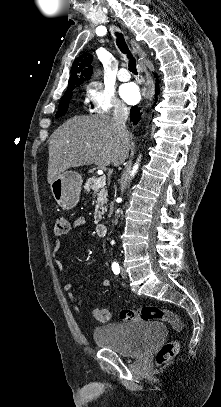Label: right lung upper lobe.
<instances>
[{
    "label": "right lung upper lobe",
    "mask_w": 221,
    "mask_h": 407,
    "mask_svg": "<svg viewBox=\"0 0 221 407\" xmlns=\"http://www.w3.org/2000/svg\"><path fill=\"white\" fill-rule=\"evenodd\" d=\"M91 61V55L87 53L80 55L74 60L67 90L74 89L76 86L82 84L84 81L83 77L86 79L90 78L92 74Z\"/></svg>",
    "instance_id": "1"
}]
</instances>
